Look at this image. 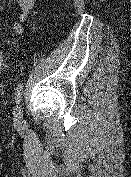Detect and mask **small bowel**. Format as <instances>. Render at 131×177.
I'll return each mask as SVG.
<instances>
[{"label":"small bowel","instance_id":"obj_1","mask_svg":"<svg viewBox=\"0 0 131 177\" xmlns=\"http://www.w3.org/2000/svg\"><path fill=\"white\" fill-rule=\"evenodd\" d=\"M36 0H17L20 7V15L18 21L14 24L12 28V35L19 36L24 33L26 28V22L29 18L30 12L35 5ZM1 33V28H0Z\"/></svg>","mask_w":131,"mask_h":177}]
</instances>
